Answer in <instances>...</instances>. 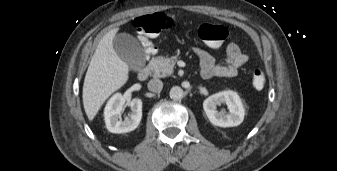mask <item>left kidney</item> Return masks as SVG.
<instances>
[{
    "instance_id": "left-kidney-1",
    "label": "left kidney",
    "mask_w": 337,
    "mask_h": 171,
    "mask_svg": "<svg viewBox=\"0 0 337 171\" xmlns=\"http://www.w3.org/2000/svg\"><path fill=\"white\" fill-rule=\"evenodd\" d=\"M225 103L229 113L217 111V105ZM203 109L213 125L219 127H234L243 122L245 109L239 95L231 90L218 92L209 96L203 102Z\"/></svg>"
}]
</instances>
